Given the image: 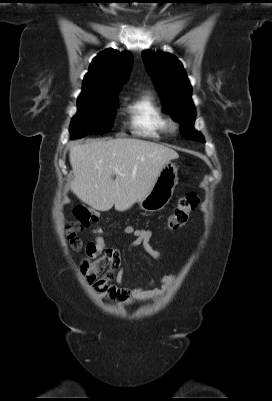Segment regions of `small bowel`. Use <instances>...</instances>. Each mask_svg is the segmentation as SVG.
<instances>
[{"label":"small bowel","mask_w":272,"mask_h":401,"mask_svg":"<svg viewBox=\"0 0 272 401\" xmlns=\"http://www.w3.org/2000/svg\"><path fill=\"white\" fill-rule=\"evenodd\" d=\"M124 235L134 238V246H142L152 257L158 252L150 243L151 232L128 225L123 229ZM85 258L81 262V271L92 282L95 288L112 299L128 304L132 301L145 302L162 296L174 283L175 275L169 274L157 278L161 288H153L152 283L144 287H122L124 269L121 256L114 247H108L101 237H96L86 246Z\"/></svg>","instance_id":"1"}]
</instances>
